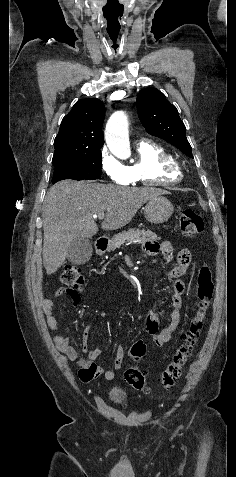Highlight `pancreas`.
Instances as JSON below:
<instances>
[{
  "label": "pancreas",
  "instance_id": "1",
  "mask_svg": "<svg viewBox=\"0 0 236 477\" xmlns=\"http://www.w3.org/2000/svg\"><path fill=\"white\" fill-rule=\"evenodd\" d=\"M159 238L150 230L129 229L115 235L109 242L108 251H113L126 243L145 244L150 241H157Z\"/></svg>",
  "mask_w": 236,
  "mask_h": 477
}]
</instances>
